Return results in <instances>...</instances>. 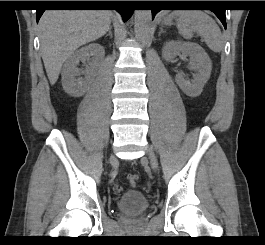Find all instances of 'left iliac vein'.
<instances>
[{"label":"left iliac vein","instance_id":"left-iliac-vein-1","mask_svg":"<svg viewBox=\"0 0 265 245\" xmlns=\"http://www.w3.org/2000/svg\"><path fill=\"white\" fill-rule=\"evenodd\" d=\"M147 154H148V158L150 160V164H151L152 168L156 169L157 168V161H156V157H155L154 152H153L151 147L147 148Z\"/></svg>","mask_w":265,"mask_h":245}]
</instances>
